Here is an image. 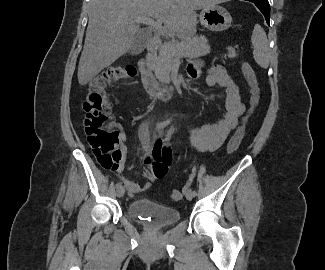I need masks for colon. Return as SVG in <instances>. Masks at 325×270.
<instances>
[{
    "label": "colon",
    "instance_id": "colon-1",
    "mask_svg": "<svg viewBox=\"0 0 325 270\" xmlns=\"http://www.w3.org/2000/svg\"><path fill=\"white\" fill-rule=\"evenodd\" d=\"M242 72L250 87V114L259 103L260 89L256 74L248 62L242 63ZM135 75L136 69L134 67H109L93 78L88 85L82 105L85 113V133L99 164L106 169L115 170L120 159L118 152L119 135L113 122L108 88L119 80L128 79ZM245 121L230 138L227 145L228 153L234 152L240 146L245 135ZM170 197L173 201H179L183 194L179 190H173Z\"/></svg>",
    "mask_w": 325,
    "mask_h": 270
}]
</instances>
